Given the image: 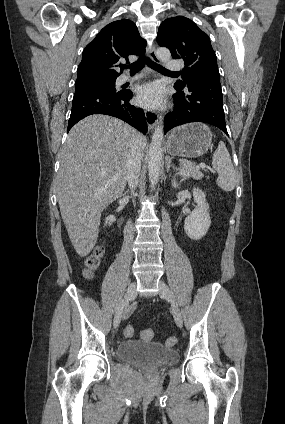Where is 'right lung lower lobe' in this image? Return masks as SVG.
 I'll use <instances>...</instances> for the list:
<instances>
[{
	"mask_svg": "<svg viewBox=\"0 0 285 424\" xmlns=\"http://www.w3.org/2000/svg\"><path fill=\"white\" fill-rule=\"evenodd\" d=\"M131 98L130 91L110 92L97 89L76 91L73 97L68 131L88 115L105 114L117 117L146 134L145 114L142 109L129 103Z\"/></svg>",
	"mask_w": 285,
	"mask_h": 424,
	"instance_id": "98d812e1",
	"label": "right lung lower lobe"
}]
</instances>
